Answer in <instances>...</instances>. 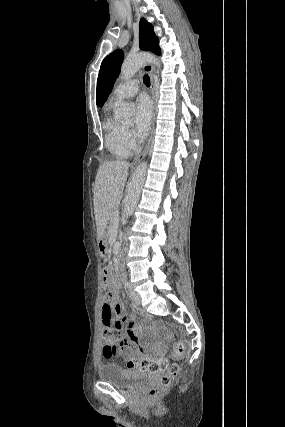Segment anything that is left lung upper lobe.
<instances>
[{"instance_id":"1","label":"left lung upper lobe","mask_w":285,"mask_h":427,"mask_svg":"<svg viewBox=\"0 0 285 427\" xmlns=\"http://www.w3.org/2000/svg\"><path fill=\"white\" fill-rule=\"evenodd\" d=\"M139 43L142 50H149L157 55L161 54L159 40L153 31V26L145 18H142L139 23ZM123 57L122 50H115L102 61L97 79V106L102 107L108 98L120 73Z\"/></svg>"}]
</instances>
